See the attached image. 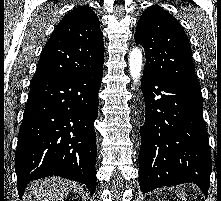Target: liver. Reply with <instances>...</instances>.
Listing matches in <instances>:
<instances>
[{"mask_svg":"<svg viewBox=\"0 0 221 201\" xmlns=\"http://www.w3.org/2000/svg\"><path fill=\"white\" fill-rule=\"evenodd\" d=\"M74 183L62 178L49 177L30 186L33 201H61L69 194Z\"/></svg>","mask_w":221,"mask_h":201,"instance_id":"6515ba94","label":"liver"}]
</instances>
